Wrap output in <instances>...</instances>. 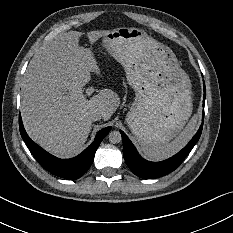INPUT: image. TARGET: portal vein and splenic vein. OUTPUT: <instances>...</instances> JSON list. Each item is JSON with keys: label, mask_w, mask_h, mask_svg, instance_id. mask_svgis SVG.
Wrapping results in <instances>:
<instances>
[{"label": "portal vein and splenic vein", "mask_w": 233, "mask_h": 233, "mask_svg": "<svg viewBox=\"0 0 233 233\" xmlns=\"http://www.w3.org/2000/svg\"><path fill=\"white\" fill-rule=\"evenodd\" d=\"M92 93H93V89H92V88H88V89L85 91V97H90ZM68 94H69L68 91H64V95H68Z\"/></svg>", "instance_id": "portal-vein-and-splenic-vein-1"}]
</instances>
